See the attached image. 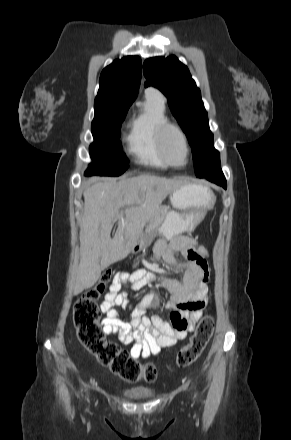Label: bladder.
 Returning a JSON list of instances; mask_svg holds the SVG:
<instances>
[{
	"instance_id": "obj_1",
	"label": "bladder",
	"mask_w": 291,
	"mask_h": 440,
	"mask_svg": "<svg viewBox=\"0 0 291 440\" xmlns=\"http://www.w3.org/2000/svg\"><path fill=\"white\" fill-rule=\"evenodd\" d=\"M122 394L128 400H143L153 397L155 392L153 389L147 387H132L124 389Z\"/></svg>"
}]
</instances>
